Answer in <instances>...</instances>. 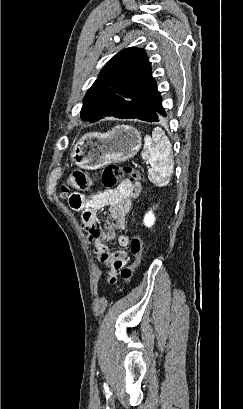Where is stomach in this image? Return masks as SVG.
I'll list each match as a JSON object with an SVG mask.
<instances>
[{
    "instance_id": "obj_1",
    "label": "stomach",
    "mask_w": 243,
    "mask_h": 409,
    "mask_svg": "<svg viewBox=\"0 0 243 409\" xmlns=\"http://www.w3.org/2000/svg\"><path fill=\"white\" fill-rule=\"evenodd\" d=\"M140 147L141 133L134 127L118 125L107 133L85 134L72 149L71 160L82 169H98L129 160Z\"/></svg>"
}]
</instances>
